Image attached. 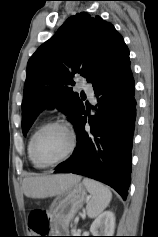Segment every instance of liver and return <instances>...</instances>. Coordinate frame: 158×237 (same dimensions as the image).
Returning a JSON list of instances; mask_svg holds the SVG:
<instances>
[{
    "label": "liver",
    "mask_w": 158,
    "mask_h": 237,
    "mask_svg": "<svg viewBox=\"0 0 158 237\" xmlns=\"http://www.w3.org/2000/svg\"><path fill=\"white\" fill-rule=\"evenodd\" d=\"M80 179V176L74 174L27 177L23 180L22 188L27 197L47 198L61 194Z\"/></svg>",
    "instance_id": "1"
}]
</instances>
